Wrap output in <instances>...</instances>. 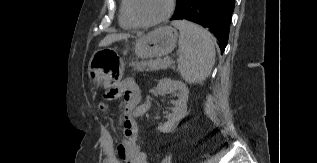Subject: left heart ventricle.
Wrapping results in <instances>:
<instances>
[{"label": "left heart ventricle", "mask_w": 317, "mask_h": 163, "mask_svg": "<svg viewBox=\"0 0 317 163\" xmlns=\"http://www.w3.org/2000/svg\"><path fill=\"white\" fill-rule=\"evenodd\" d=\"M136 16L143 21L161 17L167 10L168 0H133Z\"/></svg>", "instance_id": "b2bd125f"}]
</instances>
